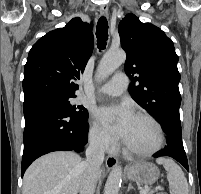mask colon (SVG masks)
<instances>
[{"label": "colon", "mask_w": 201, "mask_h": 194, "mask_svg": "<svg viewBox=\"0 0 201 194\" xmlns=\"http://www.w3.org/2000/svg\"><path fill=\"white\" fill-rule=\"evenodd\" d=\"M157 194H167V193H165V192H159V193H157Z\"/></svg>", "instance_id": "5ec220e1"}]
</instances>
